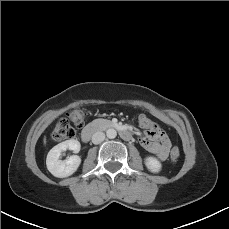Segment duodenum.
I'll return each mask as SVG.
<instances>
[{
    "instance_id": "410a0bca",
    "label": "duodenum",
    "mask_w": 229,
    "mask_h": 229,
    "mask_svg": "<svg viewBox=\"0 0 229 229\" xmlns=\"http://www.w3.org/2000/svg\"><path fill=\"white\" fill-rule=\"evenodd\" d=\"M108 127L112 128V129H118L120 132V135L123 139H125V140L131 139L130 132L126 128L118 125L117 123H110L108 125ZM98 130H99V127L95 124L87 125L86 127L83 128V130L81 132L82 140L85 142L89 141L92 138V136L98 132Z\"/></svg>"
}]
</instances>
